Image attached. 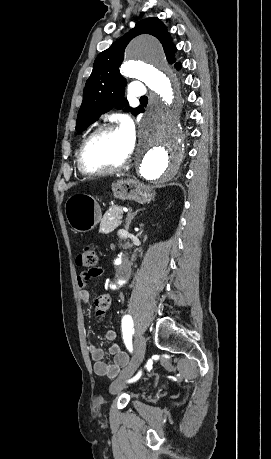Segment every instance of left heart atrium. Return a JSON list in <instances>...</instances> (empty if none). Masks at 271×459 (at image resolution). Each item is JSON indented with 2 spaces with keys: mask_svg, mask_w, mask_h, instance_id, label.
I'll return each instance as SVG.
<instances>
[{
  "mask_svg": "<svg viewBox=\"0 0 271 459\" xmlns=\"http://www.w3.org/2000/svg\"><path fill=\"white\" fill-rule=\"evenodd\" d=\"M120 131L124 135L126 140L128 141L129 146L132 150L136 144L137 136H138L136 123L129 118H125L121 122Z\"/></svg>",
  "mask_w": 271,
  "mask_h": 459,
  "instance_id": "1",
  "label": "left heart atrium"
}]
</instances>
